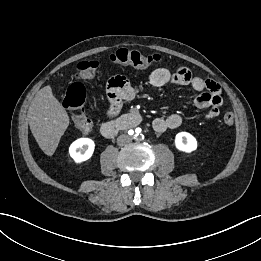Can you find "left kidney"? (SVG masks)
Wrapping results in <instances>:
<instances>
[{
	"mask_svg": "<svg viewBox=\"0 0 261 261\" xmlns=\"http://www.w3.org/2000/svg\"><path fill=\"white\" fill-rule=\"evenodd\" d=\"M175 146L180 151L191 153L197 149V141L190 133L180 132L175 137Z\"/></svg>",
	"mask_w": 261,
	"mask_h": 261,
	"instance_id": "left-kidney-1",
	"label": "left kidney"
}]
</instances>
